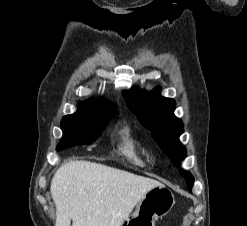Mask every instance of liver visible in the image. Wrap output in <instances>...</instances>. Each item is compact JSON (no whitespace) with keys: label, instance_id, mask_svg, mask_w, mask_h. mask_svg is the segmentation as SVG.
<instances>
[{"label":"liver","instance_id":"6515ba94","mask_svg":"<svg viewBox=\"0 0 247 226\" xmlns=\"http://www.w3.org/2000/svg\"><path fill=\"white\" fill-rule=\"evenodd\" d=\"M160 182L88 161L63 163L52 178L55 226H120Z\"/></svg>","mask_w":247,"mask_h":226}]
</instances>
